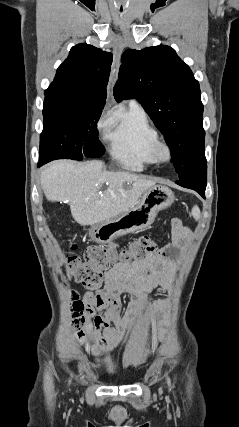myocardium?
Returning <instances> with one entry per match:
<instances>
[{
  "mask_svg": "<svg viewBox=\"0 0 239 427\" xmlns=\"http://www.w3.org/2000/svg\"><path fill=\"white\" fill-rule=\"evenodd\" d=\"M151 157L156 163H167L172 158V147L171 145L161 139L158 138L151 147Z\"/></svg>",
  "mask_w": 239,
  "mask_h": 427,
  "instance_id": "1",
  "label": "myocardium"
}]
</instances>
